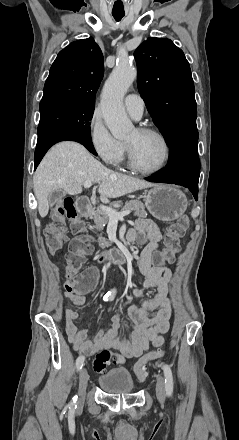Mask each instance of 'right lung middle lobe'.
Instances as JSON below:
<instances>
[{"mask_svg": "<svg viewBox=\"0 0 239 440\" xmlns=\"http://www.w3.org/2000/svg\"><path fill=\"white\" fill-rule=\"evenodd\" d=\"M39 108L41 116L38 135L58 128L76 129L90 134L94 106L76 100L56 99L40 103Z\"/></svg>", "mask_w": 239, "mask_h": 440, "instance_id": "right-lung-middle-lobe-1", "label": "right lung middle lobe"}]
</instances>
